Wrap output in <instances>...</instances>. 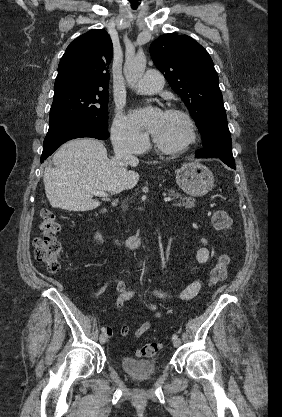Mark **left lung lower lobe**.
<instances>
[{
    "label": "left lung lower lobe",
    "instance_id": "left-lung-lower-lobe-1",
    "mask_svg": "<svg viewBox=\"0 0 282 417\" xmlns=\"http://www.w3.org/2000/svg\"><path fill=\"white\" fill-rule=\"evenodd\" d=\"M200 133L204 148L196 152V157L219 158L229 167L236 169L226 115L210 118L200 130Z\"/></svg>",
    "mask_w": 282,
    "mask_h": 417
}]
</instances>
